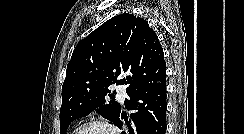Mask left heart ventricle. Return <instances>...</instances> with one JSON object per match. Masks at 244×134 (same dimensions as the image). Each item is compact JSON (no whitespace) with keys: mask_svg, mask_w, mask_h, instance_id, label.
I'll list each match as a JSON object with an SVG mask.
<instances>
[{"mask_svg":"<svg viewBox=\"0 0 244 134\" xmlns=\"http://www.w3.org/2000/svg\"><path fill=\"white\" fill-rule=\"evenodd\" d=\"M79 134H109L105 129L97 126L85 128Z\"/></svg>","mask_w":244,"mask_h":134,"instance_id":"b2bd125f","label":"left heart ventricle"}]
</instances>
